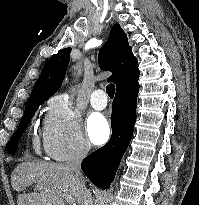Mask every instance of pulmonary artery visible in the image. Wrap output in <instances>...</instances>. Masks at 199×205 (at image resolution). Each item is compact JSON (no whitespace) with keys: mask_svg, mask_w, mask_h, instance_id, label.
<instances>
[{"mask_svg":"<svg viewBox=\"0 0 199 205\" xmlns=\"http://www.w3.org/2000/svg\"><path fill=\"white\" fill-rule=\"evenodd\" d=\"M91 106L96 110H103L107 104L108 100L102 89H96L91 95Z\"/></svg>","mask_w":199,"mask_h":205,"instance_id":"1","label":"pulmonary artery"}]
</instances>
